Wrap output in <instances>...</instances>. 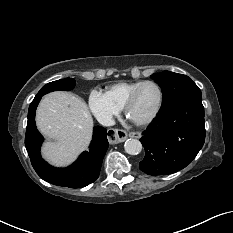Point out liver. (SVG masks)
<instances>
[{
	"instance_id": "6515ba94",
	"label": "liver",
	"mask_w": 233,
	"mask_h": 233,
	"mask_svg": "<svg viewBox=\"0 0 233 233\" xmlns=\"http://www.w3.org/2000/svg\"><path fill=\"white\" fill-rule=\"evenodd\" d=\"M39 131L52 139L42 147L43 157L52 165L63 167L72 163L87 149L93 118L80 97L63 91L45 95L36 111Z\"/></svg>"
}]
</instances>
